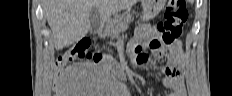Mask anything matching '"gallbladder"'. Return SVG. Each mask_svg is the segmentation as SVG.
Returning <instances> with one entry per match:
<instances>
[{
	"mask_svg": "<svg viewBox=\"0 0 232 96\" xmlns=\"http://www.w3.org/2000/svg\"><path fill=\"white\" fill-rule=\"evenodd\" d=\"M90 33L96 34L101 26L100 13L97 8L92 7L90 11Z\"/></svg>",
	"mask_w": 232,
	"mask_h": 96,
	"instance_id": "gallbladder-1",
	"label": "gallbladder"
}]
</instances>
